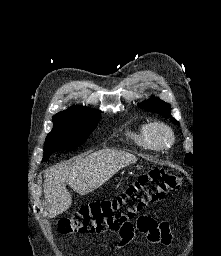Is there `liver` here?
Wrapping results in <instances>:
<instances>
[{"instance_id": "liver-1", "label": "liver", "mask_w": 221, "mask_h": 256, "mask_svg": "<svg viewBox=\"0 0 221 256\" xmlns=\"http://www.w3.org/2000/svg\"><path fill=\"white\" fill-rule=\"evenodd\" d=\"M136 161L137 158L128 152L103 149L49 169L44 180L49 216L55 217L71 206L72 198L66 184L76 193L86 195L106 183L120 169Z\"/></svg>"}]
</instances>
